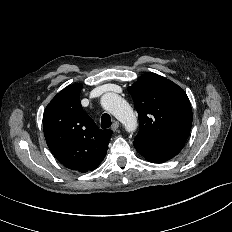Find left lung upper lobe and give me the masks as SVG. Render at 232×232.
Segmentation results:
<instances>
[{"instance_id":"left-lung-upper-lobe-1","label":"left lung upper lobe","mask_w":232,"mask_h":232,"mask_svg":"<svg viewBox=\"0 0 232 232\" xmlns=\"http://www.w3.org/2000/svg\"><path fill=\"white\" fill-rule=\"evenodd\" d=\"M139 116L135 141L185 142L192 125L190 101L178 85L155 73L141 76L128 87Z\"/></svg>"}]
</instances>
